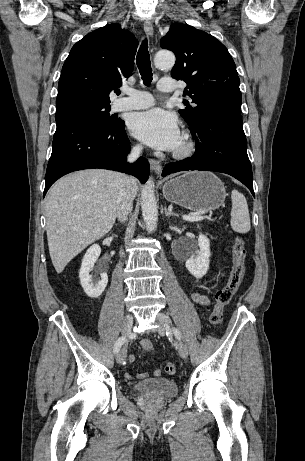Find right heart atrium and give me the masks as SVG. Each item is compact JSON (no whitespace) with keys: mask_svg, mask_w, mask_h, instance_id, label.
I'll list each match as a JSON object with an SVG mask.
<instances>
[{"mask_svg":"<svg viewBox=\"0 0 305 461\" xmlns=\"http://www.w3.org/2000/svg\"><path fill=\"white\" fill-rule=\"evenodd\" d=\"M135 149H136V150H139V149H140V146H139V145H136V146H135Z\"/></svg>","mask_w":305,"mask_h":461,"instance_id":"d8ad5b80","label":"right heart atrium"}]
</instances>
